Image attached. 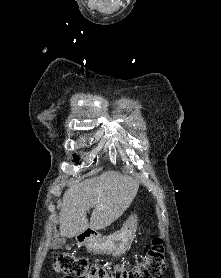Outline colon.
Masks as SVG:
<instances>
[{
  "mask_svg": "<svg viewBox=\"0 0 221 278\" xmlns=\"http://www.w3.org/2000/svg\"><path fill=\"white\" fill-rule=\"evenodd\" d=\"M55 270L66 278H161L165 270V251L160 239H154L144 260L133 268L111 271L88 259L69 253L58 255Z\"/></svg>",
  "mask_w": 221,
  "mask_h": 278,
  "instance_id": "obj_1",
  "label": "colon"
}]
</instances>
